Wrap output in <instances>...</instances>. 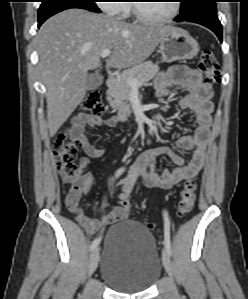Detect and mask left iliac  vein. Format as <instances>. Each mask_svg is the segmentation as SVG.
<instances>
[{"mask_svg":"<svg viewBox=\"0 0 248 299\" xmlns=\"http://www.w3.org/2000/svg\"><path fill=\"white\" fill-rule=\"evenodd\" d=\"M162 261H163V265H164V268H165V270L167 271V273H168L170 276H173L172 262H171L170 255H169V253L167 252V249H166V248H164V249L162 250Z\"/></svg>","mask_w":248,"mask_h":299,"instance_id":"obj_1","label":"left iliac vein"}]
</instances>
